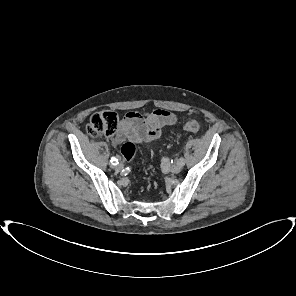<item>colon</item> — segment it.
Instances as JSON below:
<instances>
[{
	"label": "colon",
	"instance_id": "5ec220e1",
	"mask_svg": "<svg viewBox=\"0 0 296 296\" xmlns=\"http://www.w3.org/2000/svg\"><path fill=\"white\" fill-rule=\"evenodd\" d=\"M118 127V116L115 112L102 111L93 114L87 124V133L93 137H99L101 135L110 136L113 135ZM201 125L196 120H190L183 125V129L188 132L197 133L200 131ZM136 145L132 141H128L123 144L121 148L122 156L131 161L136 155Z\"/></svg>",
	"mask_w": 296,
	"mask_h": 296
}]
</instances>
